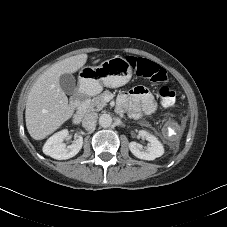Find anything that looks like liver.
<instances>
[{"mask_svg": "<svg viewBox=\"0 0 227 227\" xmlns=\"http://www.w3.org/2000/svg\"><path fill=\"white\" fill-rule=\"evenodd\" d=\"M87 54H79L53 64L34 83L26 102L25 121L30 136L42 140L69 120L74 108L61 89L59 78L75 73L87 61ZM99 62V59L94 63Z\"/></svg>", "mask_w": 227, "mask_h": 227, "instance_id": "obj_1", "label": "liver"}]
</instances>
